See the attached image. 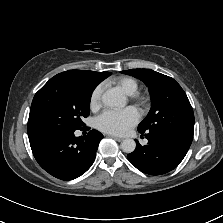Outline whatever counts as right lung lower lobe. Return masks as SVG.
I'll list each match as a JSON object with an SVG mask.
<instances>
[{
  "instance_id": "98d812e1",
  "label": "right lung lower lobe",
  "mask_w": 223,
  "mask_h": 223,
  "mask_svg": "<svg viewBox=\"0 0 223 223\" xmlns=\"http://www.w3.org/2000/svg\"><path fill=\"white\" fill-rule=\"evenodd\" d=\"M102 138L97 130L80 137H75L74 131H65L32 140L30 146L45 171L58 179L72 180L91 167Z\"/></svg>"
}]
</instances>
